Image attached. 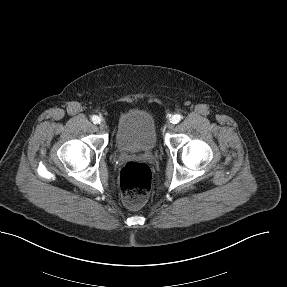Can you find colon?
<instances>
[{
	"mask_svg": "<svg viewBox=\"0 0 287 287\" xmlns=\"http://www.w3.org/2000/svg\"><path fill=\"white\" fill-rule=\"evenodd\" d=\"M152 184L149 166L142 162H128L120 172V185L124 204L132 209L142 206L148 198Z\"/></svg>",
	"mask_w": 287,
	"mask_h": 287,
	"instance_id": "obj_1",
	"label": "colon"
}]
</instances>
